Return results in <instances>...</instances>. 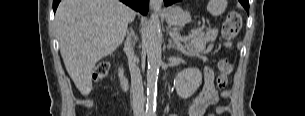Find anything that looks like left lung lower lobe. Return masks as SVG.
Masks as SVG:
<instances>
[{"instance_id": "0a47b994", "label": "left lung lower lobe", "mask_w": 305, "mask_h": 116, "mask_svg": "<svg viewBox=\"0 0 305 116\" xmlns=\"http://www.w3.org/2000/svg\"><path fill=\"white\" fill-rule=\"evenodd\" d=\"M180 0H164L166 6H169L175 2H179ZM240 3L244 6V8L249 12V3L248 0H240Z\"/></svg>"}]
</instances>
